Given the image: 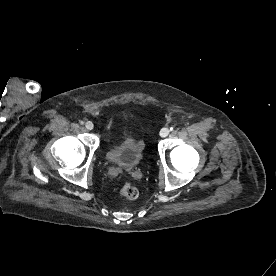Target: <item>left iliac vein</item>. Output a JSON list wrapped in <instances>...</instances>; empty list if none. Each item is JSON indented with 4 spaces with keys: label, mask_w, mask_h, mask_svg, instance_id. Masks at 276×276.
<instances>
[{
    "label": "left iliac vein",
    "mask_w": 276,
    "mask_h": 276,
    "mask_svg": "<svg viewBox=\"0 0 276 276\" xmlns=\"http://www.w3.org/2000/svg\"><path fill=\"white\" fill-rule=\"evenodd\" d=\"M170 133V129L167 127H164L160 130V136L161 137H166Z\"/></svg>",
    "instance_id": "1"
}]
</instances>
